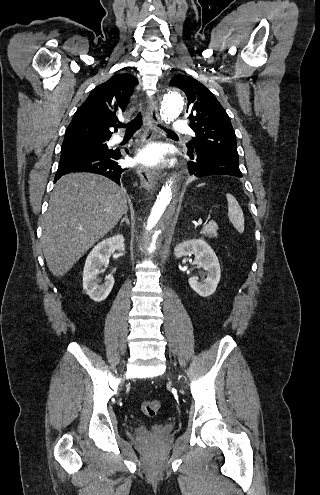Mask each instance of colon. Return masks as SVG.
<instances>
[{"label":"colon","mask_w":320,"mask_h":495,"mask_svg":"<svg viewBox=\"0 0 320 495\" xmlns=\"http://www.w3.org/2000/svg\"><path fill=\"white\" fill-rule=\"evenodd\" d=\"M161 406L162 404L160 400H151L142 403L141 409L145 415L154 417L159 413Z\"/></svg>","instance_id":"obj_1"}]
</instances>
